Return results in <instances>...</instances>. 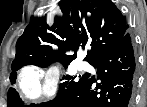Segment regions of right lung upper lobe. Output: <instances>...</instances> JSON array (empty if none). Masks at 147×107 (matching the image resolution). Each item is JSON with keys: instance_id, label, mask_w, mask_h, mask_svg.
Listing matches in <instances>:
<instances>
[{"instance_id": "obj_1", "label": "right lung upper lobe", "mask_w": 147, "mask_h": 107, "mask_svg": "<svg viewBox=\"0 0 147 107\" xmlns=\"http://www.w3.org/2000/svg\"><path fill=\"white\" fill-rule=\"evenodd\" d=\"M62 18L49 27L32 18L16 43L11 67L32 61L46 67L56 61L69 65L80 48L89 47L91 65L115 46L128 30L127 19L111 0H61Z\"/></svg>"}]
</instances>
